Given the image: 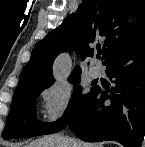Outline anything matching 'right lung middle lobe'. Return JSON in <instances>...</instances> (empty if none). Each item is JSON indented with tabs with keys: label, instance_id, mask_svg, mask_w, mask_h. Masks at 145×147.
<instances>
[{
	"label": "right lung middle lobe",
	"instance_id": "1",
	"mask_svg": "<svg viewBox=\"0 0 145 147\" xmlns=\"http://www.w3.org/2000/svg\"><path fill=\"white\" fill-rule=\"evenodd\" d=\"M71 82L75 84L73 96L61 118L53 123H44L36 119V99L46 86L30 87L16 91L13 95L10 113L2 132L4 139L23 138L52 134L64 129L73 117L85 106L94 92L95 86L87 94H81L82 88L77 86L80 75L72 76Z\"/></svg>",
	"mask_w": 145,
	"mask_h": 147
}]
</instances>
